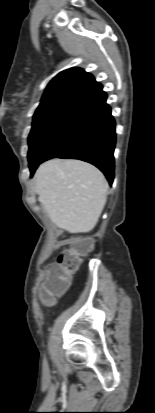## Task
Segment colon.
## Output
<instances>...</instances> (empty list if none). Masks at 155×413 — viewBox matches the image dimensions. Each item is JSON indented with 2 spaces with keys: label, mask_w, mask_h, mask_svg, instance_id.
Masks as SVG:
<instances>
[{
  "label": "colon",
  "mask_w": 155,
  "mask_h": 413,
  "mask_svg": "<svg viewBox=\"0 0 155 413\" xmlns=\"http://www.w3.org/2000/svg\"><path fill=\"white\" fill-rule=\"evenodd\" d=\"M92 249L91 240H77L65 249L55 265L50 268L46 283V301H53L69 283L71 275L77 270L81 259Z\"/></svg>",
  "instance_id": "1"
}]
</instances>
